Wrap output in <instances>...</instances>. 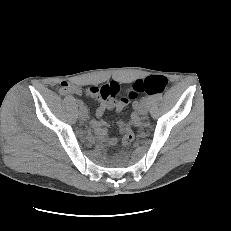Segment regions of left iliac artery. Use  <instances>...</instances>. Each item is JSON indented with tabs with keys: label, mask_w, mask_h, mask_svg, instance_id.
Segmentation results:
<instances>
[{
	"label": "left iliac artery",
	"mask_w": 231,
	"mask_h": 231,
	"mask_svg": "<svg viewBox=\"0 0 231 231\" xmlns=\"http://www.w3.org/2000/svg\"><path fill=\"white\" fill-rule=\"evenodd\" d=\"M147 100H148V98H147V97H143V98L141 99V102H142V103H146V102H147Z\"/></svg>",
	"instance_id": "1"
}]
</instances>
